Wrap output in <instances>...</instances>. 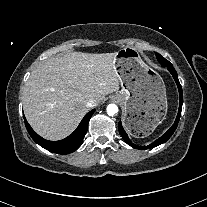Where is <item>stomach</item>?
I'll return each instance as SVG.
<instances>
[{"label":"stomach","instance_id":"0dacf381","mask_svg":"<svg viewBox=\"0 0 207 207\" xmlns=\"http://www.w3.org/2000/svg\"><path fill=\"white\" fill-rule=\"evenodd\" d=\"M115 67L121 91L114 96L124 109L125 125L135 136L148 135L161 123L167 111L162 78L151 72L138 52L130 47L116 52Z\"/></svg>","mask_w":207,"mask_h":207}]
</instances>
